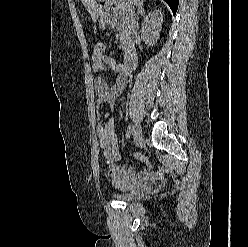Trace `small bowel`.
<instances>
[{
	"label": "small bowel",
	"instance_id": "1",
	"mask_svg": "<svg viewBox=\"0 0 248 247\" xmlns=\"http://www.w3.org/2000/svg\"><path fill=\"white\" fill-rule=\"evenodd\" d=\"M93 71L96 73L94 78V90L96 94V104L98 112L97 119L100 121L97 133L100 139V145L103 149L106 166L108 168V176L112 184L120 188H131L137 184L146 181L150 172L146 168L136 171L133 167L124 163L118 165L121 155L118 152V137L114 129L115 120L110 116L116 99L123 92L127 83V73L122 64H119L114 58L104 55L97 57L93 55ZM104 71H110L117 75L116 82L113 86H109L107 81L100 75ZM108 104L109 110L102 111L103 107Z\"/></svg>",
	"mask_w": 248,
	"mask_h": 247
}]
</instances>
